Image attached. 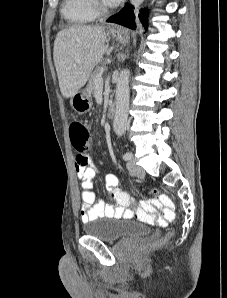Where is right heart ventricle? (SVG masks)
I'll list each match as a JSON object with an SVG mask.
<instances>
[{"instance_id":"obj_1","label":"right heart ventricle","mask_w":227,"mask_h":298,"mask_svg":"<svg viewBox=\"0 0 227 298\" xmlns=\"http://www.w3.org/2000/svg\"><path fill=\"white\" fill-rule=\"evenodd\" d=\"M61 12L70 24L76 26L90 24L97 18L92 0H64Z\"/></svg>"}]
</instances>
